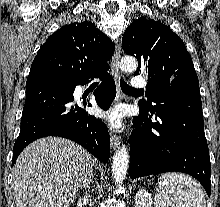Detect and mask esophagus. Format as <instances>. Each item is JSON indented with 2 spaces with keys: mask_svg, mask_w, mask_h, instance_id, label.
Segmentation results:
<instances>
[{
  "mask_svg": "<svg viewBox=\"0 0 220 207\" xmlns=\"http://www.w3.org/2000/svg\"><path fill=\"white\" fill-rule=\"evenodd\" d=\"M120 53H121V46L120 44H117L115 48V52L112 57V61H111V71H112L113 78L117 85L116 102H120L123 99V93L121 92L120 85H119V79L121 77V73L119 69ZM110 142H111V148L113 150H116L120 144L119 136H117L116 134H111Z\"/></svg>",
  "mask_w": 220,
  "mask_h": 207,
  "instance_id": "34e87169",
  "label": "esophagus"
}]
</instances>
